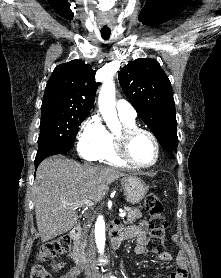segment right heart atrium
<instances>
[{"label":"right heart atrium","mask_w":221,"mask_h":278,"mask_svg":"<svg viewBox=\"0 0 221 278\" xmlns=\"http://www.w3.org/2000/svg\"><path fill=\"white\" fill-rule=\"evenodd\" d=\"M109 139V132L101 118L92 114L82 123L77 136V150L87 161L99 160Z\"/></svg>","instance_id":"obj_1"}]
</instances>
